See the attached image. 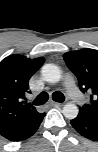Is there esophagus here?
<instances>
[{
  "mask_svg": "<svg viewBox=\"0 0 98 152\" xmlns=\"http://www.w3.org/2000/svg\"><path fill=\"white\" fill-rule=\"evenodd\" d=\"M49 105L52 107H62L63 106L62 103H58V102H54V101H50Z\"/></svg>",
  "mask_w": 98,
  "mask_h": 152,
  "instance_id": "obj_1",
  "label": "esophagus"
}]
</instances>
